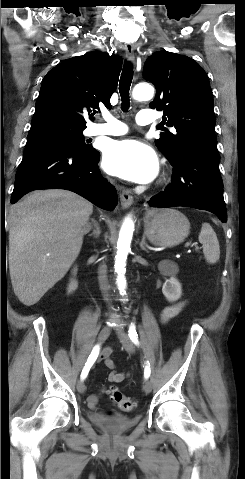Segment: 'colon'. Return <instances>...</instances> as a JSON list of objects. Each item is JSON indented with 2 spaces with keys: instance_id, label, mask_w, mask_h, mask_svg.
Instances as JSON below:
<instances>
[{
  "instance_id": "colon-1",
  "label": "colon",
  "mask_w": 245,
  "mask_h": 479,
  "mask_svg": "<svg viewBox=\"0 0 245 479\" xmlns=\"http://www.w3.org/2000/svg\"><path fill=\"white\" fill-rule=\"evenodd\" d=\"M110 399L123 411H132L136 407V402L124 395L118 388L110 387L108 389Z\"/></svg>"
}]
</instances>
